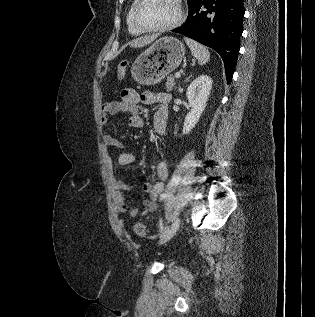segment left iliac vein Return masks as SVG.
<instances>
[{"instance_id":"obj_1","label":"left iliac vein","mask_w":315,"mask_h":317,"mask_svg":"<svg viewBox=\"0 0 315 317\" xmlns=\"http://www.w3.org/2000/svg\"><path fill=\"white\" fill-rule=\"evenodd\" d=\"M180 218H175L172 224L166 229V231L161 235L159 244H163L169 241L178 231L180 227Z\"/></svg>"}]
</instances>
